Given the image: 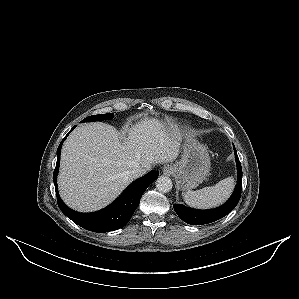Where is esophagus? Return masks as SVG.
<instances>
[{
	"instance_id": "esophagus-1",
	"label": "esophagus",
	"mask_w": 299,
	"mask_h": 299,
	"mask_svg": "<svg viewBox=\"0 0 299 299\" xmlns=\"http://www.w3.org/2000/svg\"><path fill=\"white\" fill-rule=\"evenodd\" d=\"M173 167L171 165H165L162 168V172L164 175L170 176L173 173Z\"/></svg>"
}]
</instances>
